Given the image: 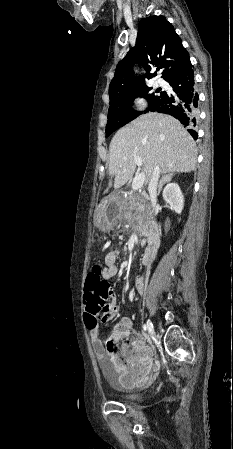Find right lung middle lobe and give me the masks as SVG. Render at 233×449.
<instances>
[{
	"label": "right lung middle lobe",
	"instance_id": "1",
	"mask_svg": "<svg viewBox=\"0 0 233 449\" xmlns=\"http://www.w3.org/2000/svg\"><path fill=\"white\" fill-rule=\"evenodd\" d=\"M152 88L148 86L141 87L134 91L120 94L110 98V107L108 110V121L106 125V136L112 134L118 128L126 125L137 116L142 114V112H137L132 109V102L136 97H144L149 102V107L147 111H153L160 100L164 96L165 92L156 91V93L151 92Z\"/></svg>",
	"mask_w": 233,
	"mask_h": 449
}]
</instances>
